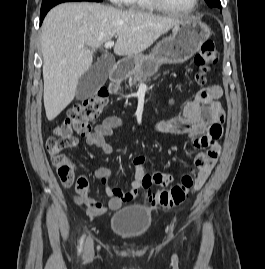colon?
Masks as SVG:
<instances>
[{"label":"colon","mask_w":265,"mask_h":269,"mask_svg":"<svg viewBox=\"0 0 265 269\" xmlns=\"http://www.w3.org/2000/svg\"><path fill=\"white\" fill-rule=\"evenodd\" d=\"M219 58V52L213 41L208 40L201 45L195 56V64L198 68L197 83L202 84L206 81L208 73L218 63ZM107 103L108 91L102 88L83 103L72 107L66 118L54 128L48 138L47 148L58 178L63 185L71 186L75 179V165L63 151L73 146L75 134L85 136L91 133V122L102 114ZM209 134L212 138L219 139L221 136L220 124H213L209 129ZM195 189L196 181L187 174L170 190L150 192L148 199L160 207H175L183 204Z\"/></svg>","instance_id":"1"}]
</instances>
